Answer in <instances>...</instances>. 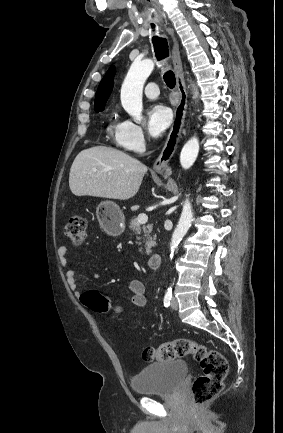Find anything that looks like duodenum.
<instances>
[{"label": "duodenum", "instance_id": "obj_1", "mask_svg": "<svg viewBox=\"0 0 283 433\" xmlns=\"http://www.w3.org/2000/svg\"><path fill=\"white\" fill-rule=\"evenodd\" d=\"M161 261H162L161 254L155 253L151 255L150 258L148 259V266L151 269H157L159 268Z\"/></svg>", "mask_w": 283, "mask_h": 433}]
</instances>
